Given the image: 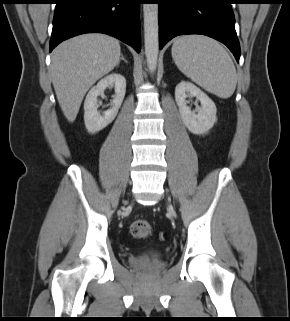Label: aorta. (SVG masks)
Here are the masks:
<instances>
[{"label":"aorta","mask_w":290,"mask_h":321,"mask_svg":"<svg viewBox=\"0 0 290 321\" xmlns=\"http://www.w3.org/2000/svg\"><path fill=\"white\" fill-rule=\"evenodd\" d=\"M144 47L148 69L155 72L158 62V4H144Z\"/></svg>","instance_id":"1"}]
</instances>
